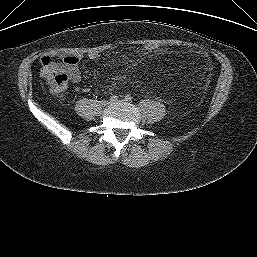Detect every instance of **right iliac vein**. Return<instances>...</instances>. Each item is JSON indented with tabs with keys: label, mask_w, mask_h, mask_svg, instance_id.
Masks as SVG:
<instances>
[{
	"label": "right iliac vein",
	"mask_w": 257,
	"mask_h": 257,
	"mask_svg": "<svg viewBox=\"0 0 257 257\" xmlns=\"http://www.w3.org/2000/svg\"><path fill=\"white\" fill-rule=\"evenodd\" d=\"M110 102L109 101H103L104 105H108Z\"/></svg>",
	"instance_id": "right-iliac-vein-1"
}]
</instances>
